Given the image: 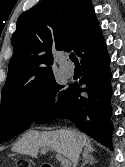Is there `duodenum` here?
<instances>
[{"label": "duodenum", "mask_w": 125, "mask_h": 167, "mask_svg": "<svg viewBox=\"0 0 125 167\" xmlns=\"http://www.w3.org/2000/svg\"><path fill=\"white\" fill-rule=\"evenodd\" d=\"M42 167H52V166L49 164H43Z\"/></svg>", "instance_id": "obj_1"}]
</instances>
